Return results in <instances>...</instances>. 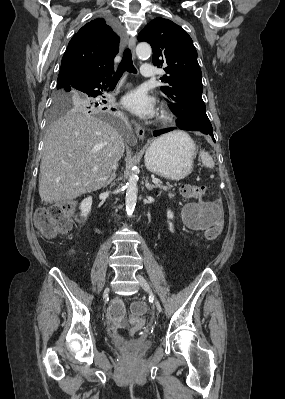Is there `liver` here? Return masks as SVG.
<instances>
[{
  "label": "liver",
  "mask_w": 285,
  "mask_h": 399,
  "mask_svg": "<svg viewBox=\"0 0 285 399\" xmlns=\"http://www.w3.org/2000/svg\"><path fill=\"white\" fill-rule=\"evenodd\" d=\"M123 152L124 142L115 128L86 112L69 111L51 125L44 142L41 201L60 203L107 186Z\"/></svg>",
  "instance_id": "6515ba94"
}]
</instances>
